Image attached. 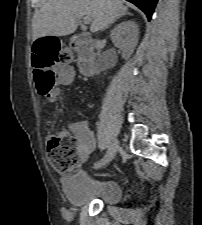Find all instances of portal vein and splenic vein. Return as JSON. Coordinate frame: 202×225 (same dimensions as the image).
Wrapping results in <instances>:
<instances>
[{
    "instance_id": "obj_1",
    "label": "portal vein and splenic vein",
    "mask_w": 202,
    "mask_h": 225,
    "mask_svg": "<svg viewBox=\"0 0 202 225\" xmlns=\"http://www.w3.org/2000/svg\"><path fill=\"white\" fill-rule=\"evenodd\" d=\"M91 20L92 19L90 17H88V16L83 17V21H84L85 24H89L91 22Z\"/></svg>"
}]
</instances>
